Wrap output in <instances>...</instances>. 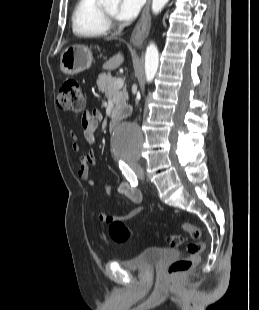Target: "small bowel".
I'll list each match as a JSON object with an SVG mask.
<instances>
[{
  "mask_svg": "<svg viewBox=\"0 0 259 310\" xmlns=\"http://www.w3.org/2000/svg\"><path fill=\"white\" fill-rule=\"evenodd\" d=\"M102 119V113L93 109L92 111H86L81 116V127L83 132L84 141L88 144H93L95 141V135L98 128V124ZM70 138L72 140L71 147L74 151H79L80 144L78 141V135L74 132H70ZM96 164V156L92 149L81 156L80 166L78 169V176L81 180L85 181L90 188L96 186V182L90 176V166ZM117 193L126 197L132 201L136 206L123 215L111 216L106 211H102L98 214V219L102 225L111 223L113 220L122 219L127 220L137 216L142 211V195L140 190L136 186H132L128 182H121L117 186Z\"/></svg>",
  "mask_w": 259,
  "mask_h": 310,
  "instance_id": "obj_1",
  "label": "small bowel"
}]
</instances>
